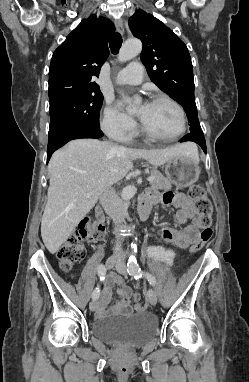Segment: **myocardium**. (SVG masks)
Here are the masks:
<instances>
[{
	"instance_id": "myocardium-1",
	"label": "myocardium",
	"mask_w": 249,
	"mask_h": 382,
	"mask_svg": "<svg viewBox=\"0 0 249 382\" xmlns=\"http://www.w3.org/2000/svg\"><path fill=\"white\" fill-rule=\"evenodd\" d=\"M154 102H167V103L171 104L177 110V112L180 116L181 128H180V131L172 137H160V136H157L154 133H152L141 122L140 123V130L143 133V135H145L146 137H148L152 140L159 141V142H174V141L178 140L179 138H181L184 135L186 128H187V119H186V114H185L183 107L177 101H175L173 98L166 96V95L155 96L151 100V103H154Z\"/></svg>"
}]
</instances>
